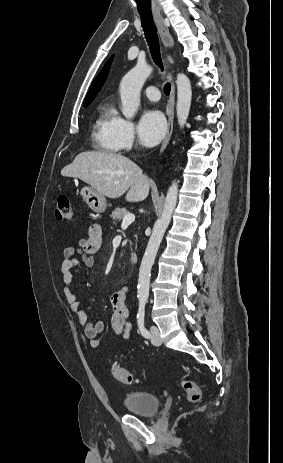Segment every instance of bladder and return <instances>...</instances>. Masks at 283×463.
I'll return each mask as SVG.
<instances>
[{"mask_svg":"<svg viewBox=\"0 0 283 463\" xmlns=\"http://www.w3.org/2000/svg\"><path fill=\"white\" fill-rule=\"evenodd\" d=\"M123 406L130 414L143 417H154L160 410L161 401L157 395L135 391L125 395Z\"/></svg>","mask_w":283,"mask_h":463,"instance_id":"1","label":"bladder"}]
</instances>
